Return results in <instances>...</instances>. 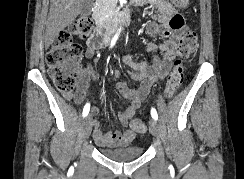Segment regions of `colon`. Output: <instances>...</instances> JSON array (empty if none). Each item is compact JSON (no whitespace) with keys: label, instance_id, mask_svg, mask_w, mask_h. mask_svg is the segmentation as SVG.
I'll return each instance as SVG.
<instances>
[{"label":"colon","instance_id":"5ec220e1","mask_svg":"<svg viewBox=\"0 0 244 179\" xmlns=\"http://www.w3.org/2000/svg\"><path fill=\"white\" fill-rule=\"evenodd\" d=\"M178 8H184L188 3L184 0H172ZM93 28L89 19H80L70 26V30L60 32L52 43L48 54V74L55 87L61 93L71 94L76 89V70L82 53L80 45L71 41L72 32L88 35ZM199 37L193 31L186 32L179 40V53L181 58H189L197 49ZM183 62L177 64L169 73L165 86V97L171 98L180 88L184 79L185 68ZM131 128L139 133L146 132V125L140 119L131 121Z\"/></svg>","mask_w":244,"mask_h":179}]
</instances>
